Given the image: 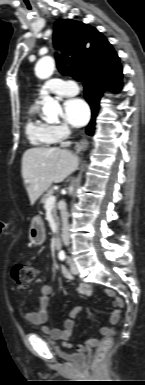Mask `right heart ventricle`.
I'll list each match as a JSON object with an SVG mask.
<instances>
[{"label": "right heart ventricle", "mask_w": 145, "mask_h": 385, "mask_svg": "<svg viewBox=\"0 0 145 385\" xmlns=\"http://www.w3.org/2000/svg\"><path fill=\"white\" fill-rule=\"evenodd\" d=\"M38 104H34L28 111L25 133L33 145L48 146L56 142L52 126L37 116Z\"/></svg>", "instance_id": "e07e8e85"}]
</instances>
